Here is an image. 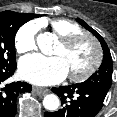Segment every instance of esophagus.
<instances>
[{
  "mask_svg": "<svg viewBox=\"0 0 117 117\" xmlns=\"http://www.w3.org/2000/svg\"><path fill=\"white\" fill-rule=\"evenodd\" d=\"M33 92L36 94L43 96L48 93V89L40 88V87H33Z\"/></svg>",
  "mask_w": 117,
  "mask_h": 117,
  "instance_id": "obj_1",
  "label": "esophagus"
}]
</instances>
